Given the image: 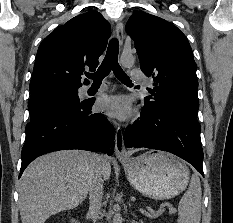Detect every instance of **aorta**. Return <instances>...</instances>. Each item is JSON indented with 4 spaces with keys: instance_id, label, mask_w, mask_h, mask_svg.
<instances>
[{
    "instance_id": "1",
    "label": "aorta",
    "mask_w": 233,
    "mask_h": 223,
    "mask_svg": "<svg viewBox=\"0 0 233 223\" xmlns=\"http://www.w3.org/2000/svg\"><path fill=\"white\" fill-rule=\"evenodd\" d=\"M120 62L124 68H132V66H134L135 58H133L132 54L131 56H121Z\"/></svg>"
}]
</instances>
